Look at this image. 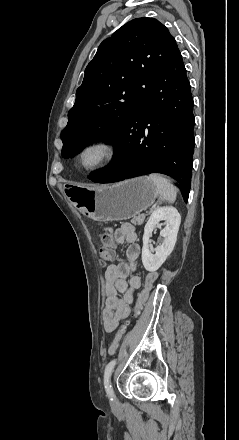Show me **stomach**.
<instances>
[{
  "instance_id": "stomach-1",
  "label": "stomach",
  "mask_w": 239,
  "mask_h": 440,
  "mask_svg": "<svg viewBox=\"0 0 239 440\" xmlns=\"http://www.w3.org/2000/svg\"><path fill=\"white\" fill-rule=\"evenodd\" d=\"M73 204L95 222L129 220L154 204L158 192L148 176L125 180L112 186H72Z\"/></svg>"
}]
</instances>
